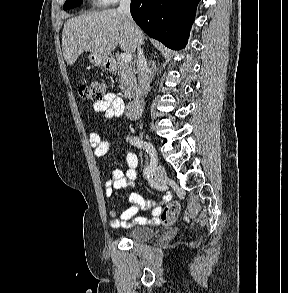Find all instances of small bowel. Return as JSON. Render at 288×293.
Returning a JSON list of instances; mask_svg holds the SVG:
<instances>
[{"label":"small bowel","instance_id":"c3829d8e","mask_svg":"<svg viewBox=\"0 0 288 293\" xmlns=\"http://www.w3.org/2000/svg\"><path fill=\"white\" fill-rule=\"evenodd\" d=\"M96 112L103 113L105 118H117L123 115L126 111V104L124 100L113 92L105 94L104 98L93 104ZM127 114L130 118L136 119L137 114H133L128 108ZM89 144L93 149L95 156L103 157L108 154L111 148L109 140L102 137L99 132H92L89 135ZM126 171L115 169L112 172L111 179L106 181L104 189L105 195L108 199L112 197L115 191L125 188L130 185L137 177L138 157L135 153L129 152L126 155ZM170 196H164L162 202L148 201L146 202L143 197L137 193H133L129 197L131 206L122 212L119 218H116L117 208L114 204L109 206V214L112 216L110 225L113 228L128 227L130 220L137 214L138 208H152V224L159 222V214L162 211L161 205L163 202L168 201ZM134 222L138 224H146L148 220L144 217H135Z\"/></svg>","mask_w":288,"mask_h":293}]
</instances>
